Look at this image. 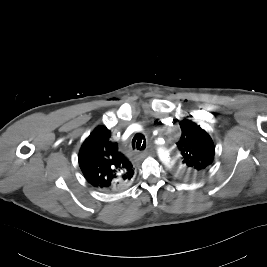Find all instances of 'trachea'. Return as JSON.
<instances>
[{
  "mask_svg": "<svg viewBox=\"0 0 267 267\" xmlns=\"http://www.w3.org/2000/svg\"><path fill=\"white\" fill-rule=\"evenodd\" d=\"M133 149L143 151L146 148V140L142 134H136L132 139Z\"/></svg>",
  "mask_w": 267,
  "mask_h": 267,
  "instance_id": "obj_1",
  "label": "trachea"
}]
</instances>
